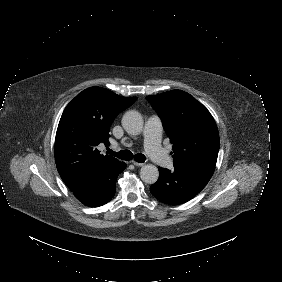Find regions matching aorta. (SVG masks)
<instances>
[{"mask_svg": "<svg viewBox=\"0 0 282 282\" xmlns=\"http://www.w3.org/2000/svg\"><path fill=\"white\" fill-rule=\"evenodd\" d=\"M122 126L128 134L137 135L142 131L143 118L138 111L129 110L122 117ZM140 178L147 184H154L159 178L158 168L152 164L142 166Z\"/></svg>", "mask_w": 282, "mask_h": 282, "instance_id": "762f6f07", "label": "aorta"}]
</instances>
